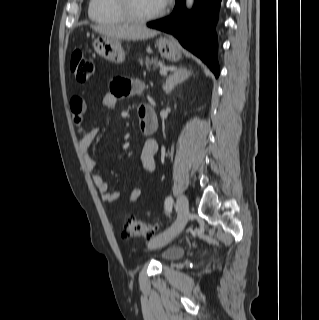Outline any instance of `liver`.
<instances>
[{
  "mask_svg": "<svg viewBox=\"0 0 319 320\" xmlns=\"http://www.w3.org/2000/svg\"><path fill=\"white\" fill-rule=\"evenodd\" d=\"M102 35L125 40H144L159 34L144 25L92 26Z\"/></svg>",
  "mask_w": 319,
  "mask_h": 320,
  "instance_id": "6515ba94",
  "label": "liver"
}]
</instances>
